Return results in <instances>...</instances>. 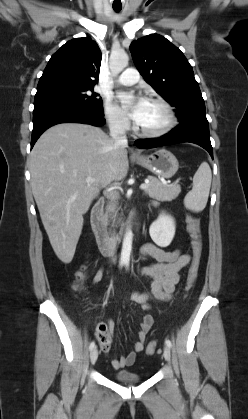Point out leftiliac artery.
Here are the masks:
<instances>
[{
	"mask_svg": "<svg viewBox=\"0 0 248 419\" xmlns=\"http://www.w3.org/2000/svg\"><path fill=\"white\" fill-rule=\"evenodd\" d=\"M165 343H166V345L169 347V348H171L172 347V343H171V341L170 340H166L165 341Z\"/></svg>",
	"mask_w": 248,
	"mask_h": 419,
	"instance_id": "44dca946",
	"label": "left iliac artery"
}]
</instances>
